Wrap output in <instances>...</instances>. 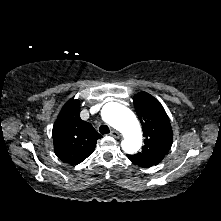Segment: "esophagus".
I'll return each mask as SVG.
<instances>
[{
	"mask_svg": "<svg viewBox=\"0 0 221 221\" xmlns=\"http://www.w3.org/2000/svg\"><path fill=\"white\" fill-rule=\"evenodd\" d=\"M110 135L113 136L114 138H120L121 137V134L116 130H112L110 132Z\"/></svg>",
	"mask_w": 221,
	"mask_h": 221,
	"instance_id": "1",
	"label": "esophagus"
}]
</instances>
